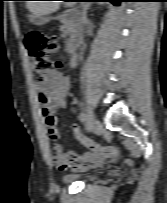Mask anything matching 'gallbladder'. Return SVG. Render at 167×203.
<instances>
[{"label":"gallbladder","mask_w":167,"mask_h":203,"mask_svg":"<svg viewBox=\"0 0 167 203\" xmlns=\"http://www.w3.org/2000/svg\"><path fill=\"white\" fill-rule=\"evenodd\" d=\"M50 20L49 17L44 16H38V15H32L30 16V22L34 25H43L47 23Z\"/></svg>","instance_id":"1"}]
</instances>
